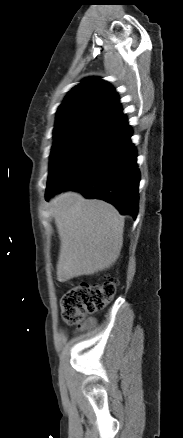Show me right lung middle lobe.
Segmentation results:
<instances>
[{
  "label": "right lung middle lobe",
  "instance_id": "1",
  "mask_svg": "<svg viewBox=\"0 0 183 438\" xmlns=\"http://www.w3.org/2000/svg\"><path fill=\"white\" fill-rule=\"evenodd\" d=\"M97 130L90 127H78L54 132V144L50 154L47 185L73 159Z\"/></svg>",
  "mask_w": 183,
  "mask_h": 438
}]
</instances>
